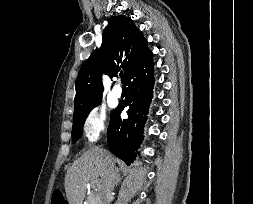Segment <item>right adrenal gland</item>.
I'll return each instance as SVG.
<instances>
[{
	"label": "right adrenal gland",
	"instance_id": "obj_1",
	"mask_svg": "<svg viewBox=\"0 0 253 204\" xmlns=\"http://www.w3.org/2000/svg\"><path fill=\"white\" fill-rule=\"evenodd\" d=\"M121 178H120V174H119V170L118 168L116 169V185L120 182Z\"/></svg>",
	"mask_w": 253,
	"mask_h": 204
}]
</instances>
